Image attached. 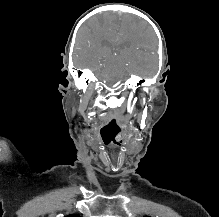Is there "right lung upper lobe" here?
Here are the masks:
<instances>
[{"label": "right lung upper lobe", "mask_w": 219, "mask_h": 217, "mask_svg": "<svg viewBox=\"0 0 219 217\" xmlns=\"http://www.w3.org/2000/svg\"><path fill=\"white\" fill-rule=\"evenodd\" d=\"M66 217H80V216H78V215H68Z\"/></svg>", "instance_id": "1"}]
</instances>
